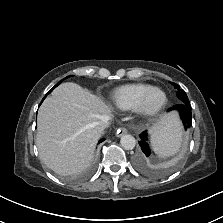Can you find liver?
Instances as JSON below:
<instances>
[{
    "mask_svg": "<svg viewBox=\"0 0 223 223\" xmlns=\"http://www.w3.org/2000/svg\"><path fill=\"white\" fill-rule=\"evenodd\" d=\"M111 107L81 86L62 83L38 110L36 144L41 161L59 175L88 168L101 134L96 123L111 117ZM174 115H162L151 127L158 133L171 126Z\"/></svg>",
    "mask_w": 223,
    "mask_h": 223,
    "instance_id": "liver-1",
    "label": "liver"
}]
</instances>
